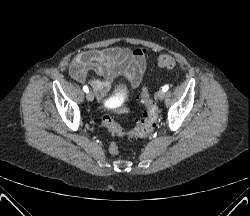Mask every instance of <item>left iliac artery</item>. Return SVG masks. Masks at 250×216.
Masks as SVG:
<instances>
[{
  "instance_id": "1",
  "label": "left iliac artery",
  "mask_w": 250,
  "mask_h": 216,
  "mask_svg": "<svg viewBox=\"0 0 250 216\" xmlns=\"http://www.w3.org/2000/svg\"><path fill=\"white\" fill-rule=\"evenodd\" d=\"M168 89H169V85H165V86H163V88H162V90H163L164 92H166Z\"/></svg>"
}]
</instances>
